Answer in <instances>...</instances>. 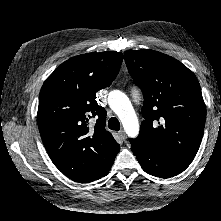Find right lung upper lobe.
Listing matches in <instances>:
<instances>
[{
    "mask_svg": "<svg viewBox=\"0 0 221 221\" xmlns=\"http://www.w3.org/2000/svg\"><path fill=\"white\" fill-rule=\"evenodd\" d=\"M122 53L107 51L72 57L44 82L39 94V132L55 166L68 178L88 183L111 168L119 144L105 130L106 111L96 92L111 85ZM95 117V126L89 120Z\"/></svg>",
    "mask_w": 221,
    "mask_h": 221,
    "instance_id": "1",
    "label": "right lung upper lobe"
}]
</instances>
